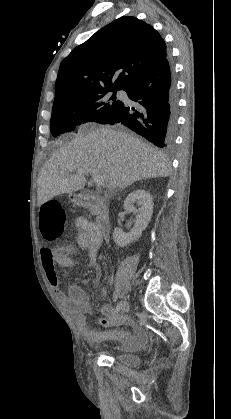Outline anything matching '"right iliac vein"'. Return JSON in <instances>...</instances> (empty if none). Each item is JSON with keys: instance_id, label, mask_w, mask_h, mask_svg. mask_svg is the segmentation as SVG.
I'll return each instance as SVG.
<instances>
[{"instance_id": "right-iliac-vein-1", "label": "right iliac vein", "mask_w": 231, "mask_h": 419, "mask_svg": "<svg viewBox=\"0 0 231 419\" xmlns=\"http://www.w3.org/2000/svg\"><path fill=\"white\" fill-rule=\"evenodd\" d=\"M129 308H130V303H129V301H128V300H125V301L122 303L121 312H122V313H127V312L129 311Z\"/></svg>"}]
</instances>
